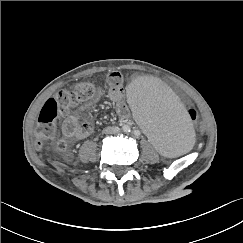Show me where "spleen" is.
<instances>
[{
  "mask_svg": "<svg viewBox=\"0 0 243 243\" xmlns=\"http://www.w3.org/2000/svg\"><path fill=\"white\" fill-rule=\"evenodd\" d=\"M125 100L160 154L178 157L192 147L194 131L184 103L156 77H135L127 85Z\"/></svg>",
  "mask_w": 243,
  "mask_h": 243,
  "instance_id": "spleen-1",
  "label": "spleen"
}]
</instances>
